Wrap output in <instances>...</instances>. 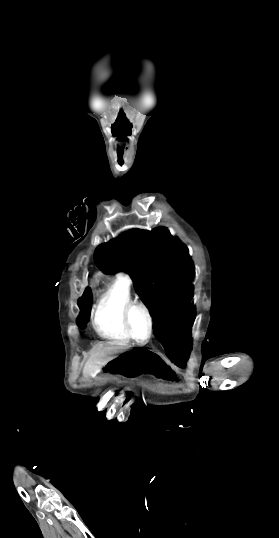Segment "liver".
Segmentation results:
<instances>
[{
  "label": "liver",
  "mask_w": 279,
  "mask_h": 538,
  "mask_svg": "<svg viewBox=\"0 0 279 538\" xmlns=\"http://www.w3.org/2000/svg\"><path fill=\"white\" fill-rule=\"evenodd\" d=\"M117 350H121V344L108 342L107 348H104L102 352V356H110V354H115ZM110 360H114V358H110ZM99 368H101V364H98L95 356H91L84 366V374H93L94 370H99Z\"/></svg>",
  "instance_id": "liver-1"
}]
</instances>
